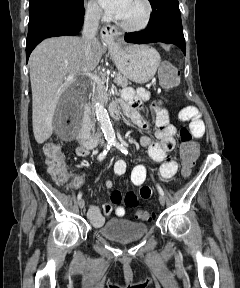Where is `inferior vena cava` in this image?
<instances>
[{"instance_id": "1", "label": "inferior vena cava", "mask_w": 240, "mask_h": 288, "mask_svg": "<svg viewBox=\"0 0 240 288\" xmlns=\"http://www.w3.org/2000/svg\"><path fill=\"white\" fill-rule=\"evenodd\" d=\"M101 9L98 6L89 7L86 10L84 25L82 31V40L84 42V52L87 56L90 53L92 45L97 42L96 33L99 27ZM97 137H101V133H97Z\"/></svg>"}]
</instances>
